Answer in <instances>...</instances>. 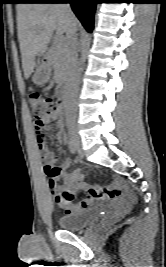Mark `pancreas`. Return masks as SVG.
I'll return each mask as SVG.
<instances>
[{
	"instance_id": "pancreas-1",
	"label": "pancreas",
	"mask_w": 166,
	"mask_h": 267,
	"mask_svg": "<svg viewBox=\"0 0 166 267\" xmlns=\"http://www.w3.org/2000/svg\"><path fill=\"white\" fill-rule=\"evenodd\" d=\"M68 52L69 48L65 42L57 43L49 50L50 64L54 70V78L62 81L68 74Z\"/></svg>"
}]
</instances>
